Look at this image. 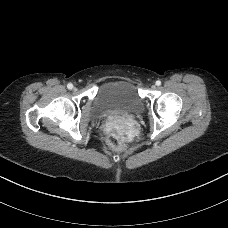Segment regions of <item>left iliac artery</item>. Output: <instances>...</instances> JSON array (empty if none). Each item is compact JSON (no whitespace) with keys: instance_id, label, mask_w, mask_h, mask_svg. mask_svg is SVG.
I'll use <instances>...</instances> for the list:
<instances>
[{"instance_id":"44dca946","label":"left iliac artery","mask_w":228,"mask_h":228,"mask_svg":"<svg viewBox=\"0 0 228 228\" xmlns=\"http://www.w3.org/2000/svg\"><path fill=\"white\" fill-rule=\"evenodd\" d=\"M156 85H157V86H160V85H161V81H160V80H157V81H156Z\"/></svg>"}]
</instances>
